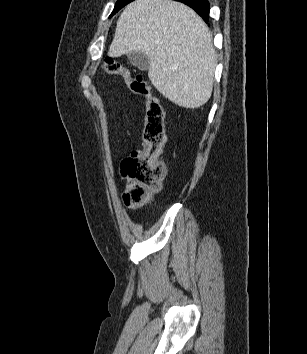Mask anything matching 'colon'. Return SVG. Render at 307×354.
<instances>
[{
  "mask_svg": "<svg viewBox=\"0 0 307 354\" xmlns=\"http://www.w3.org/2000/svg\"><path fill=\"white\" fill-rule=\"evenodd\" d=\"M103 68L145 100L143 148L133 152L121 165V173L128 182L123 202L129 209H138L150 203L165 176V167L159 160L165 140L164 110L140 74L134 75L129 68L112 58L105 60Z\"/></svg>",
  "mask_w": 307,
  "mask_h": 354,
  "instance_id": "1",
  "label": "colon"
}]
</instances>
